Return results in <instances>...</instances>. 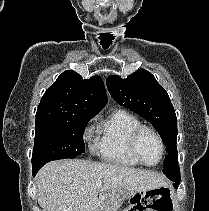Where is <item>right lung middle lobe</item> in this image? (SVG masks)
I'll return each mask as SVG.
<instances>
[{
  "label": "right lung middle lobe",
  "instance_id": "dd1d6c3e",
  "mask_svg": "<svg viewBox=\"0 0 209 211\" xmlns=\"http://www.w3.org/2000/svg\"><path fill=\"white\" fill-rule=\"evenodd\" d=\"M93 116L65 119H36L32 167L49 161L75 158L85 152L84 129Z\"/></svg>",
  "mask_w": 209,
  "mask_h": 211
}]
</instances>
